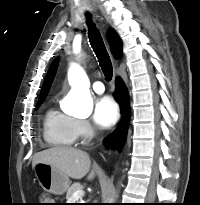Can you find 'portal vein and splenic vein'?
<instances>
[{
    "instance_id": "18ae733b",
    "label": "portal vein and splenic vein",
    "mask_w": 200,
    "mask_h": 205,
    "mask_svg": "<svg viewBox=\"0 0 200 205\" xmlns=\"http://www.w3.org/2000/svg\"><path fill=\"white\" fill-rule=\"evenodd\" d=\"M83 196H84L83 191H76L73 193L71 201H76V200L82 199Z\"/></svg>"
}]
</instances>
